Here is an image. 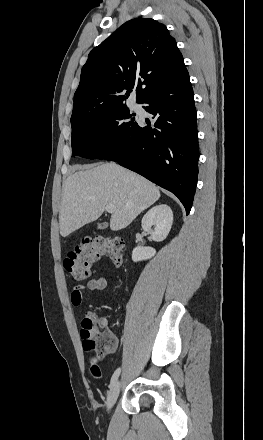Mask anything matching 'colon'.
I'll return each instance as SVG.
<instances>
[{"label": "colon", "instance_id": "1", "mask_svg": "<svg viewBox=\"0 0 263 440\" xmlns=\"http://www.w3.org/2000/svg\"><path fill=\"white\" fill-rule=\"evenodd\" d=\"M124 241L121 238H85L64 260V267L75 281H83L90 275L91 265L102 256H108L115 265L123 263ZM94 314L86 316L81 323V336L85 352L92 358V372L100 377L97 362L101 361L113 342V334L107 331Z\"/></svg>", "mask_w": 263, "mask_h": 440}]
</instances>
